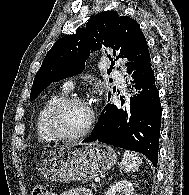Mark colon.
<instances>
[{"label": "colon", "instance_id": "5ec220e1", "mask_svg": "<svg viewBox=\"0 0 189 195\" xmlns=\"http://www.w3.org/2000/svg\"><path fill=\"white\" fill-rule=\"evenodd\" d=\"M32 195H50L48 190L42 186H37L33 189Z\"/></svg>", "mask_w": 189, "mask_h": 195}]
</instances>
